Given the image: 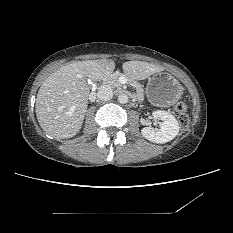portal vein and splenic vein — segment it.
<instances>
[{"instance_id":"portal-vein-and-splenic-vein-1","label":"portal vein and splenic vein","mask_w":233,"mask_h":233,"mask_svg":"<svg viewBox=\"0 0 233 233\" xmlns=\"http://www.w3.org/2000/svg\"><path fill=\"white\" fill-rule=\"evenodd\" d=\"M75 108H76V105H73L70 109V113H72L75 110Z\"/></svg>"}]
</instances>
